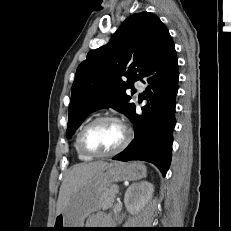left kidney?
Listing matches in <instances>:
<instances>
[{
    "label": "left kidney",
    "instance_id": "left-kidney-1",
    "mask_svg": "<svg viewBox=\"0 0 231 231\" xmlns=\"http://www.w3.org/2000/svg\"><path fill=\"white\" fill-rule=\"evenodd\" d=\"M154 187L150 182L132 184L128 187L124 196V203L130 213L139 212L152 198Z\"/></svg>",
    "mask_w": 231,
    "mask_h": 231
}]
</instances>
